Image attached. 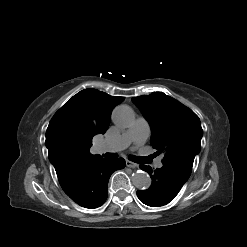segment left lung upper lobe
<instances>
[{"label":"left lung upper lobe","instance_id":"5c2ea615","mask_svg":"<svg viewBox=\"0 0 247 247\" xmlns=\"http://www.w3.org/2000/svg\"><path fill=\"white\" fill-rule=\"evenodd\" d=\"M149 121L151 144L163 166L172 168L188 179L195 155L200 152L203 130L200 119L189 108L160 92L132 98Z\"/></svg>","mask_w":247,"mask_h":247}]
</instances>
